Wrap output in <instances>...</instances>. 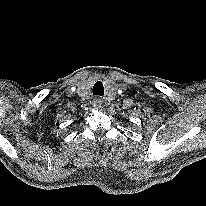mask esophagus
Here are the masks:
<instances>
[{
  "instance_id": "1",
  "label": "esophagus",
  "mask_w": 206,
  "mask_h": 206,
  "mask_svg": "<svg viewBox=\"0 0 206 206\" xmlns=\"http://www.w3.org/2000/svg\"><path fill=\"white\" fill-rule=\"evenodd\" d=\"M93 106L96 108V109H100L101 106H102V101L100 98H95L93 100Z\"/></svg>"
}]
</instances>
